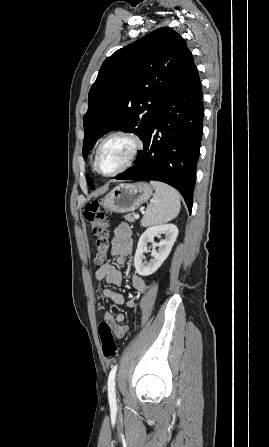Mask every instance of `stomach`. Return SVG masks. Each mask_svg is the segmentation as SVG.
I'll list each match as a JSON object with an SVG mask.
<instances>
[{"label":"stomach","mask_w":269,"mask_h":447,"mask_svg":"<svg viewBox=\"0 0 269 447\" xmlns=\"http://www.w3.org/2000/svg\"><path fill=\"white\" fill-rule=\"evenodd\" d=\"M152 196V188L145 182L138 184H121L114 190H111L100 206L107 212H116V214H126L134 212L138 206L144 204Z\"/></svg>","instance_id":"obj_1"}]
</instances>
